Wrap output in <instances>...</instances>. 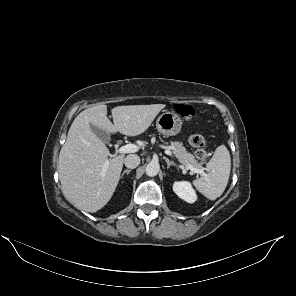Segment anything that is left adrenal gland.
I'll return each mask as SVG.
<instances>
[{
  "label": "left adrenal gland",
  "instance_id": "1",
  "mask_svg": "<svg viewBox=\"0 0 296 296\" xmlns=\"http://www.w3.org/2000/svg\"><path fill=\"white\" fill-rule=\"evenodd\" d=\"M167 168H170V166L177 167V165L173 161H169V159H166Z\"/></svg>",
  "mask_w": 296,
  "mask_h": 296
}]
</instances>
